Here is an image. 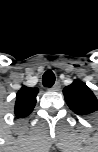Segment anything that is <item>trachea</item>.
Instances as JSON below:
<instances>
[{
  "instance_id": "3493384b",
  "label": "trachea",
  "mask_w": 98,
  "mask_h": 152,
  "mask_svg": "<svg viewBox=\"0 0 98 152\" xmlns=\"http://www.w3.org/2000/svg\"><path fill=\"white\" fill-rule=\"evenodd\" d=\"M44 87H52L55 83V74L51 70H47L42 77Z\"/></svg>"
}]
</instances>
